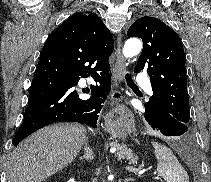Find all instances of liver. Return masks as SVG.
<instances>
[{
	"mask_svg": "<svg viewBox=\"0 0 211 182\" xmlns=\"http://www.w3.org/2000/svg\"><path fill=\"white\" fill-rule=\"evenodd\" d=\"M87 139L79 124L45 127L22 141L9 158L8 182H42L70 164Z\"/></svg>",
	"mask_w": 211,
	"mask_h": 182,
	"instance_id": "1",
	"label": "liver"
}]
</instances>
